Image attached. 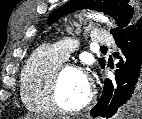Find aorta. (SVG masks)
<instances>
[{
  "label": "aorta",
  "mask_w": 142,
  "mask_h": 119,
  "mask_svg": "<svg viewBox=\"0 0 142 119\" xmlns=\"http://www.w3.org/2000/svg\"><path fill=\"white\" fill-rule=\"evenodd\" d=\"M96 20H101L102 22L105 23H110L108 17L102 15V14H94L92 15ZM111 24V23H110Z\"/></svg>",
  "instance_id": "762f6f07"
}]
</instances>
